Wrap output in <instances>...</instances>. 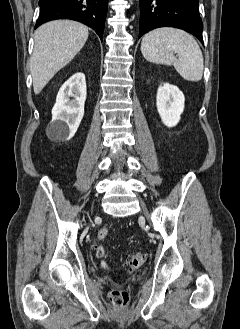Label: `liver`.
Returning a JSON list of instances; mask_svg holds the SVG:
<instances>
[{
    "mask_svg": "<svg viewBox=\"0 0 240 329\" xmlns=\"http://www.w3.org/2000/svg\"><path fill=\"white\" fill-rule=\"evenodd\" d=\"M88 34L85 25L69 20L50 21L36 30L30 66L35 94H39L52 77L77 55Z\"/></svg>",
    "mask_w": 240,
    "mask_h": 329,
    "instance_id": "liver-1",
    "label": "liver"
}]
</instances>
